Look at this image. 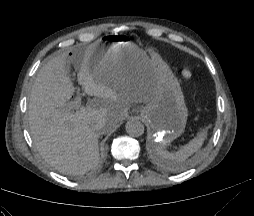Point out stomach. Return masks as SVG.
Instances as JSON below:
<instances>
[{
	"label": "stomach",
	"mask_w": 254,
	"mask_h": 216,
	"mask_svg": "<svg viewBox=\"0 0 254 216\" xmlns=\"http://www.w3.org/2000/svg\"><path fill=\"white\" fill-rule=\"evenodd\" d=\"M92 56V70L99 74L149 68L154 76V90L148 103L141 108V117L150 125V141L165 149L185 130L188 111L177 78L161 57L147 55L125 36L99 39Z\"/></svg>",
	"instance_id": "0dacf381"
}]
</instances>
